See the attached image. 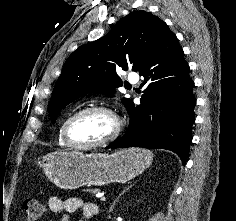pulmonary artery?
I'll return each instance as SVG.
<instances>
[{
	"label": "pulmonary artery",
	"instance_id": "pulmonary-artery-1",
	"mask_svg": "<svg viewBox=\"0 0 236 221\" xmlns=\"http://www.w3.org/2000/svg\"><path fill=\"white\" fill-rule=\"evenodd\" d=\"M128 80H129V82H131L132 84H135V83H137V82L139 81V77H138L137 74H130V75L128 76Z\"/></svg>",
	"mask_w": 236,
	"mask_h": 221
}]
</instances>
